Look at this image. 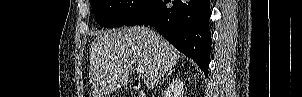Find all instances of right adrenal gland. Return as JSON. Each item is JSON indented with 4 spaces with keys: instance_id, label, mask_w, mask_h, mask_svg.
<instances>
[{
    "instance_id": "right-adrenal-gland-1",
    "label": "right adrenal gland",
    "mask_w": 302,
    "mask_h": 97,
    "mask_svg": "<svg viewBox=\"0 0 302 97\" xmlns=\"http://www.w3.org/2000/svg\"><path fill=\"white\" fill-rule=\"evenodd\" d=\"M174 71V69L172 68V69H170L169 71H168V73H167V75H166V77L168 76V75H170L172 72ZM166 77H164L163 79H162V82L166 79ZM161 84V83H160Z\"/></svg>"
}]
</instances>
